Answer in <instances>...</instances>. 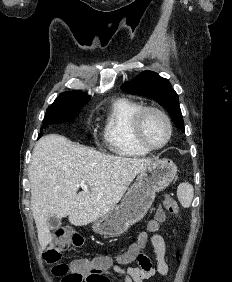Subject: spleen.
<instances>
[{"label":"spleen","instance_id":"obj_1","mask_svg":"<svg viewBox=\"0 0 232 282\" xmlns=\"http://www.w3.org/2000/svg\"><path fill=\"white\" fill-rule=\"evenodd\" d=\"M177 197L184 208L190 207L194 197L193 186L188 182L180 184L177 189Z\"/></svg>","mask_w":232,"mask_h":282}]
</instances>
